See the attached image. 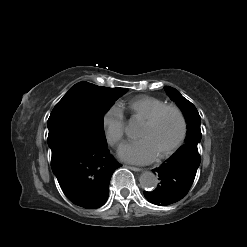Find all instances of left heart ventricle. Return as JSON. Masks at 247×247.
Here are the masks:
<instances>
[{"instance_id":"left-heart-ventricle-1","label":"left heart ventricle","mask_w":247,"mask_h":247,"mask_svg":"<svg viewBox=\"0 0 247 247\" xmlns=\"http://www.w3.org/2000/svg\"><path fill=\"white\" fill-rule=\"evenodd\" d=\"M179 132L180 122L177 115L174 112L168 111L153 126L142 125L138 138L147 139L158 155L172 145Z\"/></svg>"}]
</instances>
